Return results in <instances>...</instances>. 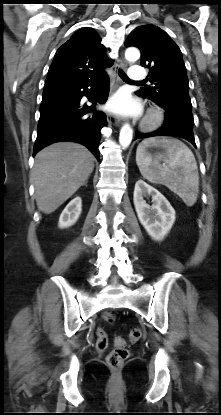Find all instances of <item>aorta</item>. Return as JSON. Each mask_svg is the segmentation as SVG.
<instances>
[{
  "instance_id": "obj_1",
  "label": "aorta",
  "mask_w": 221,
  "mask_h": 415,
  "mask_svg": "<svg viewBox=\"0 0 221 415\" xmlns=\"http://www.w3.org/2000/svg\"><path fill=\"white\" fill-rule=\"evenodd\" d=\"M139 57H140V52L135 47H129L125 51V58L130 62L136 61L137 59H139ZM132 136H133V130L131 126L129 124H124L120 130V135H119L120 145L123 148H127L132 141Z\"/></svg>"
}]
</instances>
